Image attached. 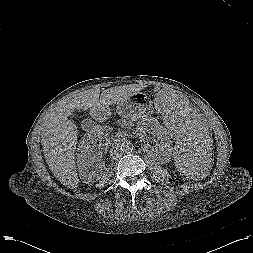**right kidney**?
<instances>
[{"label": "right kidney", "mask_w": 253, "mask_h": 253, "mask_svg": "<svg viewBox=\"0 0 253 253\" xmlns=\"http://www.w3.org/2000/svg\"><path fill=\"white\" fill-rule=\"evenodd\" d=\"M108 144L109 139L100 131L88 132L82 136L77 148V166L84 183L92 184L100 179L101 170H93L92 167L95 162L101 161Z\"/></svg>", "instance_id": "right-kidney-1"}]
</instances>
